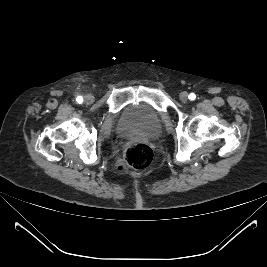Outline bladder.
Wrapping results in <instances>:
<instances>
[{"label":"bladder","mask_w":267,"mask_h":267,"mask_svg":"<svg viewBox=\"0 0 267 267\" xmlns=\"http://www.w3.org/2000/svg\"><path fill=\"white\" fill-rule=\"evenodd\" d=\"M117 128L124 135L154 137L161 130L159 112L145 102L129 104L124 108Z\"/></svg>","instance_id":"1"}]
</instances>
